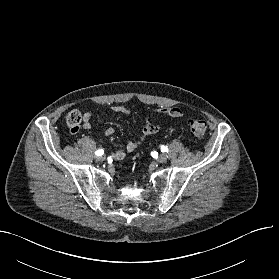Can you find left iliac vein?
<instances>
[{
	"label": "left iliac vein",
	"instance_id": "obj_1",
	"mask_svg": "<svg viewBox=\"0 0 279 279\" xmlns=\"http://www.w3.org/2000/svg\"><path fill=\"white\" fill-rule=\"evenodd\" d=\"M168 157L166 154H160L157 158V161L160 163H165L167 161Z\"/></svg>",
	"mask_w": 279,
	"mask_h": 279
}]
</instances>
